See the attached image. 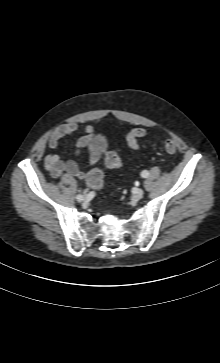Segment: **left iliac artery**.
<instances>
[{
  "mask_svg": "<svg viewBox=\"0 0 220 363\" xmlns=\"http://www.w3.org/2000/svg\"><path fill=\"white\" fill-rule=\"evenodd\" d=\"M148 175H149V173H148V171H146V170H144V171H142V172H141V176H142L143 178H147V177H148Z\"/></svg>",
  "mask_w": 220,
  "mask_h": 363,
  "instance_id": "1",
  "label": "left iliac artery"
}]
</instances>
